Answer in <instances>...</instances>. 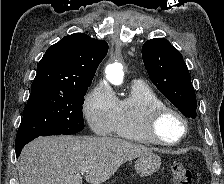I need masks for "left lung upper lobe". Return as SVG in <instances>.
<instances>
[{
	"label": "left lung upper lobe",
	"instance_id": "left-lung-upper-lobe-1",
	"mask_svg": "<svg viewBox=\"0 0 224 184\" xmlns=\"http://www.w3.org/2000/svg\"><path fill=\"white\" fill-rule=\"evenodd\" d=\"M147 72L159 89L186 117L196 118V95L182 54L166 39L148 40L142 47Z\"/></svg>",
	"mask_w": 224,
	"mask_h": 184
}]
</instances>
